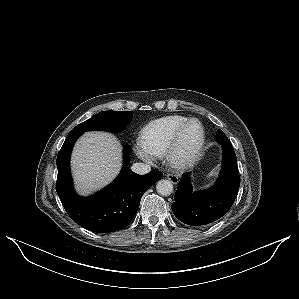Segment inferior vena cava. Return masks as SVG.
Here are the masks:
<instances>
[{"instance_id":"1","label":"inferior vena cava","mask_w":299,"mask_h":299,"mask_svg":"<svg viewBox=\"0 0 299 299\" xmlns=\"http://www.w3.org/2000/svg\"><path fill=\"white\" fill-rule=\"evenodd\" d=\"M132 171L137 174H147L151 171V167L146 163H134L131 167Z\"/></svg>"}]
</instances>
